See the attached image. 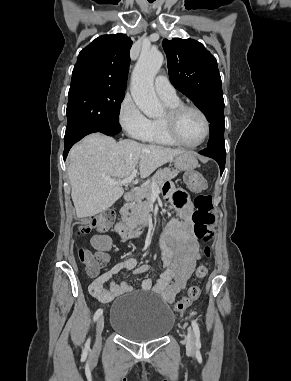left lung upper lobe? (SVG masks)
Listing matches in <instances>:
<instances>
[{
	"instance_id": "1",
	"label": "left lung upper lobe",
	"mask_w": 291,
	"mask_h": 381,
	"mask_svg": "<svg viewBox=\"0 0 291 381\" xmlns=\"http://www.w3.org/2000/svg\"><path fill=\"white\" fill-rule=\"evenodd\" d=\"M169 78L210 122L208 148L225 147L224 99L216 58L193 39L163 40Z\"/></svg>"
}]
</instances>
